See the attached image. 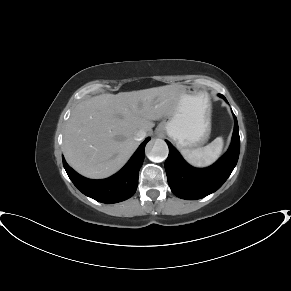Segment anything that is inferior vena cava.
Here are the masks:
<instances>
[{
	"label": "inferior vena cava",
	"mask_w": 291,
	"mask_h": 291,
	"mask_svg": "<svg viewBox=\"0 0 291 291\" xmlns=\"http://www.w3.org/2000/svg\"><path fill=\"white\" fill-rule=\"evenodd\" d=\"M145 136H146V132L143 131V130H139V131H137V132L135 133V135H134V139H135L136 141H141V140H143V139L145 138Z\"/></svg>",
	"instance_id": "602c4592"
}]
</instances>
